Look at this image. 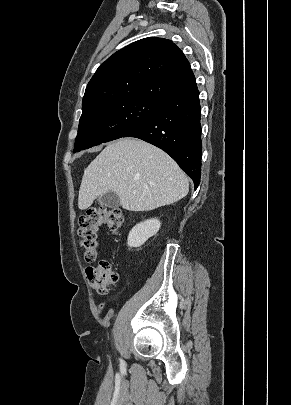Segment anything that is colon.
Returning <instances> with one entry per match:
<instances>
[{"label": "colon", "mask_w": 291, "mask_h": 405, "mask_svg": "<svg viewBox=\"0 0 291 405\" xmlns=\"http://www.w3.org/2000/svg\"><path fill=\"white\" fill-rule=\"evenodd\" d=\"M123 224V215L118 209L93 208L79 218L78 235L83 256L88 264L86 275L91 287L99 294H107L109 287L116 283L118 275L110 262H96L99 254V232L106 227L116 233Z\"/></svg>", "instance_id": "obj_1"}]
</instances>
